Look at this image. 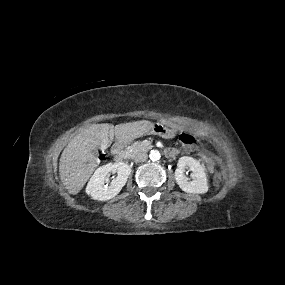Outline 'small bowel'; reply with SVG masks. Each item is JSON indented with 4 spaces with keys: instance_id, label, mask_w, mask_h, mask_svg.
Listing matches in <instances>:
<instances>
[{
    "instance_id": "obj_1",
    "label": "small bowel",
    "mask_w": 285,
    "mask_h": 285,
    "mask_svg": "<svg viewBox=\"0 0 285 285\" xmlns=\"http://www.w3.org/2000/svg\"><path fill=\"white\" fill-rule=\"evenodd\" d=\"M169 149H173L174 151H176V149H174V148H169ZM199 157L201 159L202 164L206 168V170L209 172H213L214 165H215L214 158L212 156H210L208 153L203 152V151L199 152Z\"/></svg>"
}]
</instances>
